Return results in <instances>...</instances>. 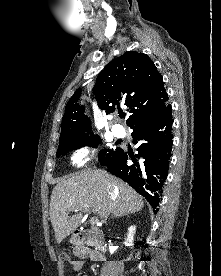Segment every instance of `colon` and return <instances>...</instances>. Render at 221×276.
Segmentation results:
<instances>
[{
  "mask_svg": "<svg viewBox=\"0 0 221 276\" xmlns=\"http://www.w3.org/2000/svg\"><path fill=\"white\" fill-rule=\"evenodd\" d=\"M60 260L63 262H71L72 256L69 252H63L60 254Z\"/></svg>",
  "mask_w": 221,
  "mask_h": 276,
  "instance_id": "colon-1",
  "label": "colon"
}]
</instances>
